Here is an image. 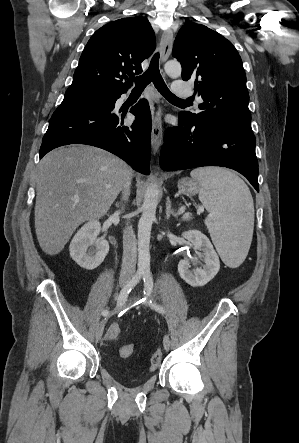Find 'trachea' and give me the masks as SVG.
I'll use <instances>...</instances> for the list:
<instances>
[{
    "label": "trachea",
    "mask_w": 299,
    "mask_h": 443,
    "mask_svg": "<svg viewBox=\"0 0 299 443\" xmlns=\"http://www.w3.org/2000/svg\"><path fill=\"white\" fill-rule=\"evenodd\" d=\"M159 53H156L150 62L149 68L146 70L143 75L139 76L135 80L134 91L142 92L145 87L153 82L155 88L163 95L167 100L173 102H190L189 99H180L176 97L171 91L168 89L165 84L159 70Z\"/></svg>",
    "instance_id": "obj_1"
}]
</instances>
